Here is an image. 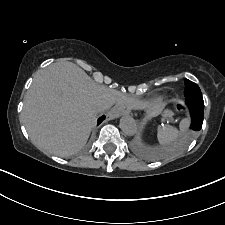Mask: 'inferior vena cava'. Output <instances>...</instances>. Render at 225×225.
I'll use <instances>...</instances> for the list:
<instances>
[{
  "label": "inferior vena cava",
  "mask_w": 225,
  "mask_h": 225,
  "mask_svg": "<svg viewBox=\"0 0 225 225\" xmlns=\"http://www.w3.org/2000/svg\"><path fill=\"white\" fill-rule=\"evenodd\" d=\"M107 109V105L106 104H100L99 106H98V110L99 111H104V110H106Z\"/></svg>",
  "instance_id": "1"
}]
</instances>
